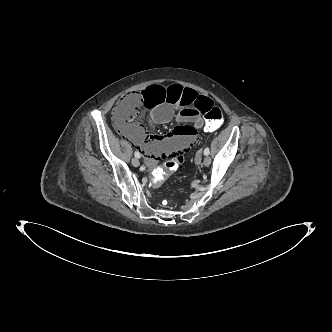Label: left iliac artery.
<instances>
[{
	"label": "left iliac artery",
	"instance_id": "44dca946",
	"mask_svg": "<svg viewBox=\"0 0 332 332\" xmlns=\"http://www.w3.org/2000/svg\"><path fill=\"white\" fill-rule=\"evenodd\" d=\"M209 153H210V149H209L208 147H206V148L204 149V155H205V156H208Z\"/></svg>",
	"mask_w": 332,
	"mask_h": 332
}]
</instances>
